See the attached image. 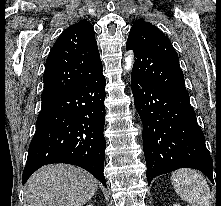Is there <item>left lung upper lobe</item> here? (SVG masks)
<instances>
[{"label": "left lung upper lobe", "instance_id": "5c2ea615", "mask_svg": "<svg viewBox=\"0 0 221 206\" xmlns=\"http://www.w3.org/2000/svg\"><path fill=\"white\" fill-rule=\"evenodd\" d=\"M126 48L132 49L136 56L131 77L188 96L178 55L157 27L143 19L135 21Z\"/></svg>", "mask_w": 221, "mask_h": 206}]
</instances>
